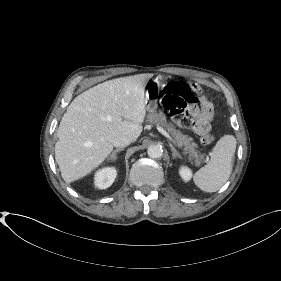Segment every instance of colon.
<instances>
[{
	"label": "colon",
	"instance_id": "obj_1",
	"mask_svg": "<svg viewBox=\"0 0 281 281\" xmlns=\"http://www.w3.org/2000/svg\"><path fill=\"white\" fill-rule=\"evenodd\" d=\"M163 107L170 112L172 116L178 118L179 123L184 127H189L193 124V117L186 113V108L189 105L195 104L198 101V95L201 88L197 83L170 82L163 87ZM215 137L211 133L202 136L201 143L204 146L211 145Z\"/></svg>",
	"mask_w": 281,
	"mask_h": 281
}]
</instances>
